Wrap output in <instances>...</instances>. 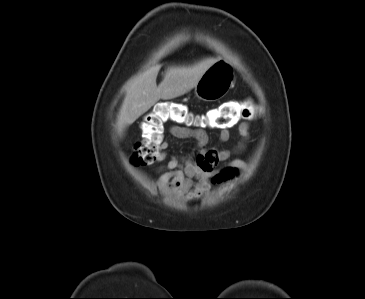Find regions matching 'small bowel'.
<instances>
[{
	"mask_svg": "<svg viewBox=\"0 0 365 299\" xmlns=\"http://www.w3.org/2000/svg\"><path fill=\"white\" fill-rule=\"evenodd\" d=\"M241 141L233 149H222L209 146V138L201 129H188L173 125L169 128V136L178 139H192L196 142V152L191 158L171 156L160 169L163 171L157 180V186L168 195L190 201L207 195L211 184L223 183L237 176L246 164L241 160H233L226 167L216 169V166L230 159L234 154L242 152L249 139L250 123L243 121L238 125ZM228 128L220 129L218 140L228 141ZM168 143L164 141L162 150L156 161L161 162L168 157L165 150Z\"/></svg>",
	"mask_w": 365,
	"mask_h": 299,
	"instance_id": "1",
	"label": "small bowel"
}]
</instances>
